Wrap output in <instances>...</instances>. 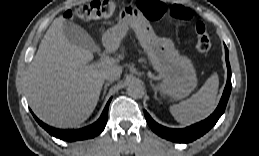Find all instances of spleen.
<instances>
[{"instance_id":"1","label":"spleen","mask_w":259,"mask_h":156,"mask_svg":"<svg viewBox=\"0 0 259 156\" xmlns=\"http://www.w3.org/2000/svg\"><path fill=\"white\" fill-rule=\"evenodd\" d=\"M219 79L212 74L189 99L170 107V113L181 124L188 125L208 117L216 107Z\"/></svg>"}]
</instances>
